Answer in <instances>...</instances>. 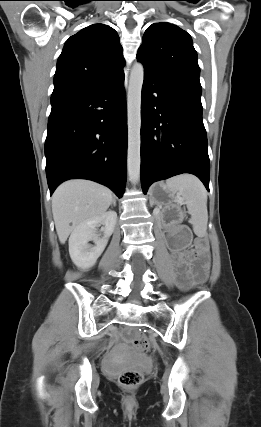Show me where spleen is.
Returning <instances> with one entry per match:
<instances>
[{
  "label": "spleen",
  "mask_w": 261,
  "mask_h": 427,
  "mask_svg": "<svg viewBox=\"0 0 261 427\" xmlns=\"http://www.w3.org/2000/svg\"><path fill=\"white\" fill-rule=\"evenodd\" d=\"M166 186L176 194L179 203L186 204L194 233L199 237L205 236L208 223L207 192L200 180L190 174H182L168 179Z\"/></svg>",
  "instance_id": "3e777b00"
}]
</instances>
